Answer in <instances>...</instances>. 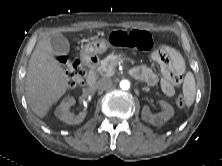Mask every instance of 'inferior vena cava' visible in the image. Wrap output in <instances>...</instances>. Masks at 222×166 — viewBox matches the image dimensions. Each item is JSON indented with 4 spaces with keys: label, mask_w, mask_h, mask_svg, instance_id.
<instances>
[{
    "label": "inferior vena cava",
    "mask_w": 222,
    "mask_h": 166,
    "mask_svg": "<svg viewBox=\"0 0 222 166\" xmlns=\"http://www.w3.org/2000/svg\"><path fill=\"white\" fill-rule=\"evenodd\" d=\"M113 82L110 78H102L97 82V87L101 90H109L112 88Z\"/></svg>",
    "instance_id": "obj_1"
}]
</instances>
